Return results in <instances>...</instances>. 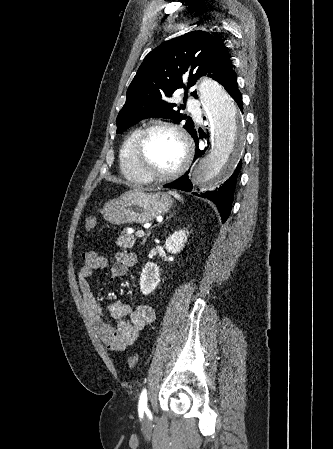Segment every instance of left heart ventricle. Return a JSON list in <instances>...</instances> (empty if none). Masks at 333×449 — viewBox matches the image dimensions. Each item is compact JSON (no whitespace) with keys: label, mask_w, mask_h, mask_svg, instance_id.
Instances as JSON below:
<instances>
[{"label":"left heart ventricle","mask_w":333,"mask_h":449,"mask_svg":"<svg viewBox=\"0 0 333 449\" xmlns=\"http://www.w3.org/2000/svg\"><path fill=\"white\" fill-rule=\"evenodd\" d=\"M183 156V147L176 135L156 130L145 144L143 166L153 174H166L177 168Z\"/></svg>","instance_id":"1"}]
</instances>
